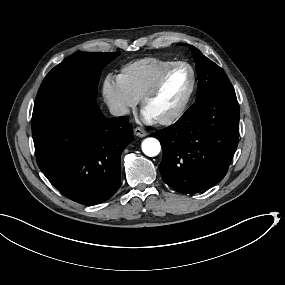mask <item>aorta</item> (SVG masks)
Here are the masks:
<instances>
[{"label":"aorta","instance_id":"762f6f07","mask_svg":"<svg viewBox=\"0 0 285 285\" xmlns=\"http://www.w3.org/2000/svg\"><path fill=\"white\" fill-rule=\"evenodd\" d=\"M160 150H161L160 143L155 138H146L142 142V151L147 156L154 157L159 154Z\"/></svg>","mask_w":285,"mask_h":285}]
</instances>
